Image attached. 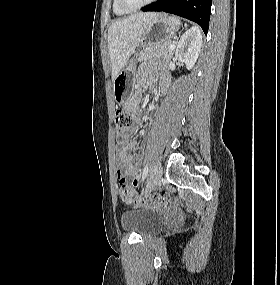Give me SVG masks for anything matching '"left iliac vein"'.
I'll list each match as a JSON object with an SVG mask.
<instances>
[{"instance_id":"left-iliac-vein-1","label":"left iliac vein","mask_w":280,"mask_h":285,"mask_svg":"<svg viewBox=\"0 0 280 285\" xmlns=\"http://www.w3.org/2000/svg\"><path fill=\"white\" fill-rule=\"evenodd\" d=\"M162 177V165L160 162H156L155 165L152 167L146 187V191L150 192L155 189Z\"/></svg>"}]
</instances>
